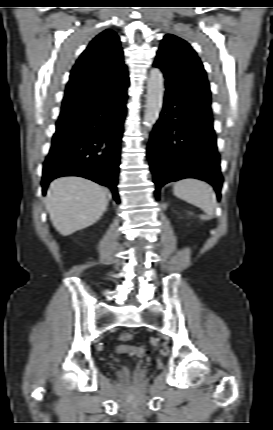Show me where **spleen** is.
Masks as SVG:
<instances>
[{
    "mask_svg": "<svg viewBox=\"0 0 273 430\" xmlns=\"http://www.w3.org/2000/svg\"><path fill=\"white\" fill-rule=\"evenodd\" d=\"M173 192L176 197L201 208L208 215H212L216 208L214 191L204 181L194 178L179 180L174 184Z\"/></svg>",
    "mask_w": 273,
    "mask_h": 430,
    "instance_id": "3e777b00",
    "label": "spleen"
}]
</instances>
